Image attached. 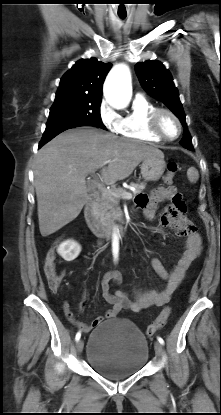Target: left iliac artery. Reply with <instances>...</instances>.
<instances>
[{
	"label": "left iliac artery",
	"mask_w": 221,
	"mask_h": 415,
	"mask_svg": "<svg viewBox=\"0 0 221 415\" xmlns=\"http://www.w3.org/2000/svg\"><path fill=\"white\" fill-rule=\"evenodd\" d=\"M157 339H158V342L160 343V344H164V340L161 338V337H157Z\"/></svg>",
	"instance_id": "44dca946"
}]
</instances>
